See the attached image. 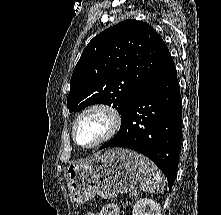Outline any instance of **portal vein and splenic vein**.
<instances>
[{
    "mask_svg": "<svg viewBox=\"0 0 221 215\" xmlns=\"http://www.w3.org/2000/svg\"><path fill=\"white\" fill-rule=\"evenodd\" d=\"M133 195H136V191L132 192Z\"/></svg>",
    "mask_w": 221,
    "mask_h": 215,
    "instance_id": "1",
    "label": "portal vein and splenic vein"
}]
</instances>
